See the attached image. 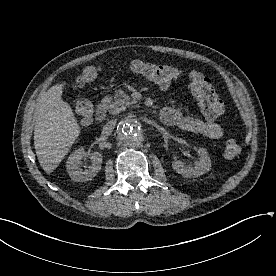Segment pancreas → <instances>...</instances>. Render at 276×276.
Listing matches in <instances>:
<instances>
[{"label": "pancreas", "instance_id": "pancreas-1", "mask_svg": "<svg viewBox=\"0 0 276 276\" xmlns=\"http://www.w3.org/2000/svg\"><path fill=\"white\" fill-rule=\"evenodd\" d=\"M105 100L107 102L109 112L113 115H117L133 104L131 98L121 90L118 91L114 97H106Z\"/></svg>", "mask_w": 276, "mask_h": 276}]
</instances>
